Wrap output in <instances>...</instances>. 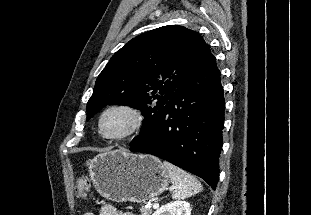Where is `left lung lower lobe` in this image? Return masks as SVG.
<instances>
[{"instance_id": "0a47b994", "label": "left lung lower lobe", "mask_w": 311, "mask_h": 215, "mask_svg": "<svg viewBox=\"0 0 311 215\" xmlns=\"http://www.w3.org/2000/svg\"><path fill=\"white\" fill-rule=\"evenodd\" d=\"M220 72L207 44L132 152L152 154L204 179L219 177L224 125Z\"/></svg>"}]
</instances>
